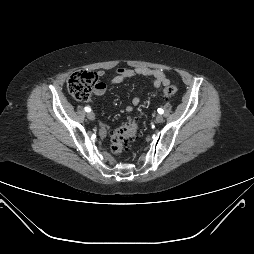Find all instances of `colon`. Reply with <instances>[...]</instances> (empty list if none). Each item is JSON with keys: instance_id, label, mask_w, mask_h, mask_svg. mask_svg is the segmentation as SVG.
<instances>
[{"instance_id": "colon-1", "label": "colon", "mask_w": 254, "mask_h": 254, "mask_svg": "<svg viewBox=\"0 0 254 254\" xmlns=\"http://www.w3.org/2000/svg\"><path fill=\"white\" fill-rule=\"evenodd\" d=\"M99 78L96 72L80 71L71 74L67 80V87L70 94L82 101L89 99L92 91L98 87ZM177 93L175 86H168L162 90V97L165 99L173 97ZM138 124L129 119L111 134V151L120 155L129 144L139 135Z\"/></svg>"}]
</instances>
